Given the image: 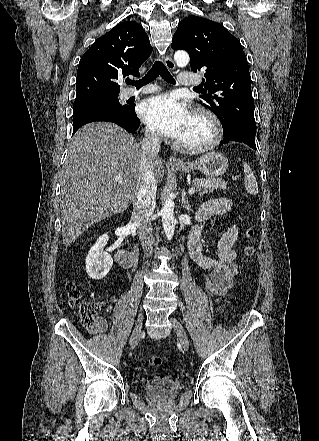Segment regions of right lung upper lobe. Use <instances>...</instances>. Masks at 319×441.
Returning <instances> with one entry per match:
<instances>
[{
  "instance_id": "right-lung-upper-lobe-1",
  "label": "right lung upper lobe",
  "mask_w": 319,
  "mask_h": 441,
  "mask_svg": "<svg viewBox=\"0 0 319 441\" xmlns=\"http://www.w3.org/2000/svg\"><path fill=\"white\" fill-rule=\"evenodd\" d=\"M151 52L149 37L138 23L118 24L98 38L80 59L75 101L118 96L116 80L128 75L138 77L139 68Z\"/></svg>"
}]
</instances>
